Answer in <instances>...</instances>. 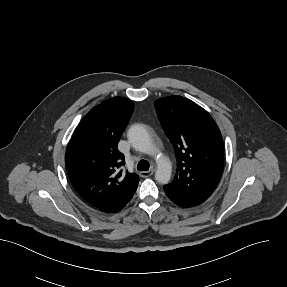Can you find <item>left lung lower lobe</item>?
<instances>
[{
    "mask_svg": "<svg viewBox=\"0 0 287 287\" xmlns=\"http://www.w3.org/2000/svg\"><path fill=\"white\" fill-rule=\"evenodd\" d=\"M164 191H165L167 197L172 202H174L175 204H177L178 206H181V207H192V206H196V205H199V204L204 202L201 200L189 198V197L182 195V194H178L177 192L172 191L171 189H168L165 186H164Z\"/></svg>",
    "mask_w": 287,
    "mask_h": 287,
    "instance_id": "obj_1",
    "label": "left lung lower lobe"
}]
</instances>
